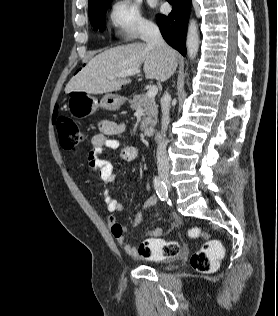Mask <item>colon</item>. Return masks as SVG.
Instances as JSON below:
<instances>
[{"label": "colon", "instance_id": "obj_1", "mask_svg": "<svg viewBox=\"0 0 278 316\" xmlns=\"http://www.w3.org/2000/svg\"><path fill=\"white\" fill-rule=\"evenodd\" d=\"M59 142L64 149H73L83 144L87 139L86 132L72 119L65 116L55 118ZM199 229H192L193 237L201 235ZM139 254L145 258L164 259L176 257L180 253V246L176 241L162 239H147L139 248ZM224 254L221 243L217 240L208 239L202 247L190 257L191 267L199 273L213 272L219 265Z\"/></svg>", "mask_w": 278, "mask_h": 316}]
</instances>
